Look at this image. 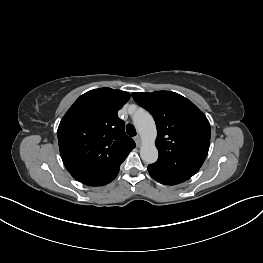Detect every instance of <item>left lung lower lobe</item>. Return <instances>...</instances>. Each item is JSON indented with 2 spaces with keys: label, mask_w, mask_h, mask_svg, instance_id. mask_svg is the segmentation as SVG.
<instances>
[{
  "label": "left lung lower lobe",
  "mask_w": 263,
  "mask_h": 263,
  "mask_svg": "<svg viewBox=\"0 0 263 263\" xmlns=\"http://www.w3.org/2000/svg\"><path fill=\"white\" fill-rule=\"evenodd\" d=\"M148 171L153 179L165 185H175L185 181V179L164 175L150 166H148Z\"/></svg>",
  "instance_id": "obj_1"
}]
</instances>
